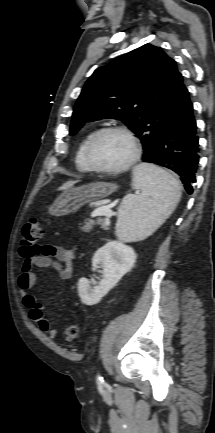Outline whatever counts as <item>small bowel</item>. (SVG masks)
I'll return each mask as SVG.
<instances>
[{
  "label": "small bowel",
  "instance_id": "c3829d8e",
  "mask_svg": "<svg viewBox=\"0 0 215 433\" xmlns=\"http://www.w3.org/2000/svg\"><path fill=\"white\" fill-rule=\"evenodd\" d=\"M73 256V250L52 245L39 246L31 256L22 255L21 273L17 280V285L22 294V302L29 312L30 319L50 339H56L58 331L45 317L43 305L33 294L29 293L38 281L34 269L52 268L61 279H70L72 276Z\"/></svg>",
  "mask_w": 215,
  "mask_h": 433
}]
</instances>
